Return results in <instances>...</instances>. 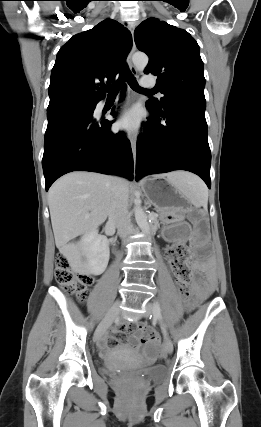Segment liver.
<instances>
[{"label": "liver", "mask_w": 261, "mask_h": 427, "mask_svg": "<svg viewBox=\"0 0 261 427\" xmlns=\"http://www.w3.org/2000/svg\"><path fill=\"white\" fill-rule=\"evenodd\" d=\"M166 176L180 179L181 172ZM113 178L93 172H72L57 180L49 190L48 205L55 244L61 253L73 249L69 242L105 222L112 198ZM128 188V182L125 180Z\"/></svg>", "instance_id": "1"}]
</instances>
